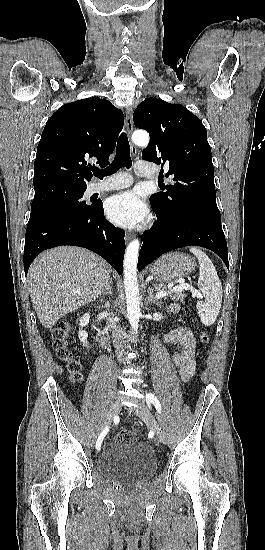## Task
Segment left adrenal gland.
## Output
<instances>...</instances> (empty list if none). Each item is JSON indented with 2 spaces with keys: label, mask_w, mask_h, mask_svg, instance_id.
<instances>
[{
  "label": "left adrenal gland",
  "mask_w": 265,
  "mask_h": 550,
  "mask_svg": "<svg viewBox=\"0 0 265 550\" xmlns=\"http://www.w3.org/2000/svg\"><path fill=\"white\" fill-rule=\"evenodd\" d=\"M147 303H154L156 304L160 309L162 308V302L159 301L153 294V288H148V297H147Z\"/></svg>",
  "instance_id": "obj_1"
}]
</instances>
